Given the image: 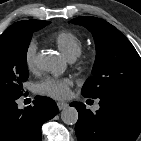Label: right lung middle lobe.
Wrapping results in <instances>:
<instances>
[{
	"instance_id": "dd1d6c3e",
	"label": "right lung middle lobe",
	"mask_w": 141,
	"mask_h": 141,
	"mask_svg": "<svg viewBox=\"0 0 141 141\" xmlns=\"http://www.w3.org/2000/svg\"><path fill=\"white\" fill-rule=\"evenodd\" d=\"M49 22L25 20L0 35V99L19 98L28 79L27 49L33 32Z\"/></svg>"
}]
</instances>
